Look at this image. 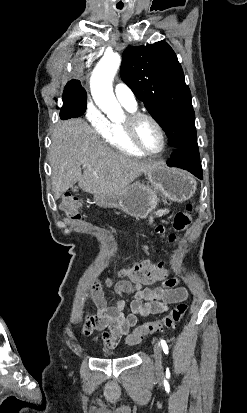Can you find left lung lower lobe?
Segmentation results:
<instances>
[{
    "label": "left lung lower lobe",
    "instance_id": "1",
    "mask_svg": "<svg viewBox=\"0 0 247 413\" xmlns=\"http://www.w3.org/2000/svg\"><path fill=\"white\" fill-rule=\"evenodd\" d=\"M167 165L185 169L199 179H203L198 145L174 149Z\"/></svg>",
    "mask_w": 247,
    "mask_h": 413
}]
</instances>
